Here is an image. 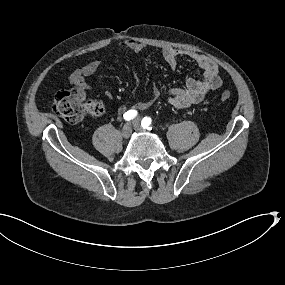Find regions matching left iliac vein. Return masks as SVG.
<instances>
[{"instance_id": "1", "label": "left iliac vein", "mask_w": 285, "mask_h": 285, "mask_svg": "<svg viewBox=\"0 0 285 285\" xmlns=\"http://www.w3.org/2000/svg\"><path fill=\"white\" fill-rule=\"evenodd\" d=\"M132 123H133V127H134L135 130L140 131V132H143V129H142V127L140 126V120H139V118L134 119V120L132 121Z\"/></svg>"}]
</instances>
